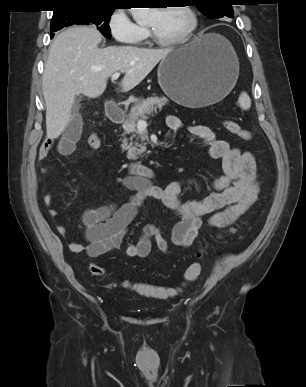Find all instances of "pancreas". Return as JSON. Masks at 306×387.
Returning <instances> with one entry per match:
<instances>
[{
    "instance_id": "cf45deb5",
    "label": "pancreas",
    "mask_w": 306,
    "mask_h": 387,
    "mask_svg": "<svg viewBox=\"0 0 306 387\" xmlns=\"http://www.w3.org/2000/svg\"><path fill=\"white\" fill-rule=\"evenodd\" d=\"M168 103V99L165 96L158 97L154 95L153 97H148L147 99H135L134 105L128 115H126L123 122V128L125 134H131L130 142L127 138L122 140V150L127 151V158L131 160H136L139 157H142L143 153L146 151V143L144 142L147 139V134H139L137 127V121L140 119H147L152 114H157L158 111H161L163 106ZM136 138V141H131L132 138ZM141 139V143L138 142V139Z\"/></svg>"
}]
</instances>
